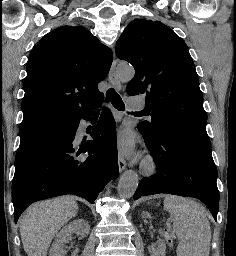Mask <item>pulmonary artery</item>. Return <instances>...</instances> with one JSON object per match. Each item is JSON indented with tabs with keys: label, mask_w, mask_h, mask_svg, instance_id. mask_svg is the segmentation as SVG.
I'll list each match as a JSON object with an SVG mask.
<instances>
[{
	"label": "pulmonary artery",
	"mask_w": 236,
	"mask_h": 256,
	"mask_svg": "<svg viewBox=\"0 0 236 256\" xmlns=\"http://www.w3.org/2000/svg\"><path fill=\"white\" fill-rule=\"evenodd\" d=\"M129 109H142V106L144 105V102L142 101V96H129L128 97Z\"/></svg>",
	"instance_id": "e3ab8cb5"
}]
</instances>
